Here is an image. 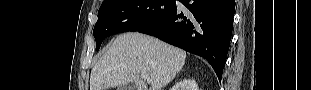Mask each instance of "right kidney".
Segmentation results:
<instances>
[{"label": "right kidney", "mask_w": 311, "mask_h": 90, "mask_svg": "<svg viewBox=\"0 0 311 90\" xmlns=\"http://www.w3.org/2000/svg\"><path fill=\"white\" fill-rule=\"evenodd\" d=\"M175 90H198L195 80H183L176 85Z\"/></svg>", "instance_id": "ca27d5eb"}]
</instances>
